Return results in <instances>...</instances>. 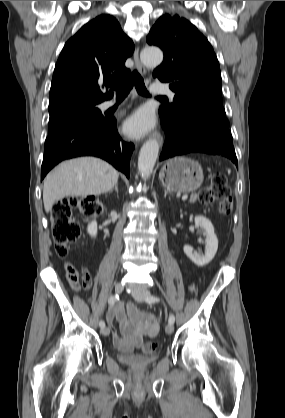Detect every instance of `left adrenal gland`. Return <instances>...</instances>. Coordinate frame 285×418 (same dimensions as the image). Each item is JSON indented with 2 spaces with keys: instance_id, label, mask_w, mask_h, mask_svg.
<instances>
[{
  "instance_id": "a2214340",
  "label": "left adrenal gland",
  "mask_w": 285,
  "mask_h": 418,
  "mask_svg": "<svg viewBox=\"0 0 285 418\" xmlns=\"http://www.w3.org/2000/svg\"><path fill=\"white\" fill-rule=\"evenodd\" d=\"M168 193H170V192H169L168 190H165V192H164V197H166ZM170 194H171V193H170Z\"/></svg>"
}]
</instances>
